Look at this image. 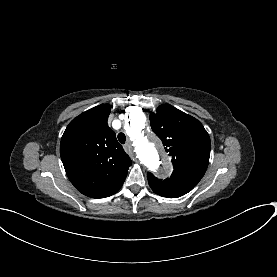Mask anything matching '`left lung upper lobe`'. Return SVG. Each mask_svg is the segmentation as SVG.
<instances>
[{"mask_svg":"<svg viewBox=\"0 0 277 277\" xmlns=\"http://www.w3.org/2000/svg\"><path fill=\"white\" fill-rule=\"evenodd\" d=\"M152 130L172 156L174 171L170 178L160 180L148 173L154 193L177 198L191 191L203 177L210 157V137L194 117L163 104L150 114Z\"/></svg>","mask_w":277,"mask_h":277,"instance_id":"obj_1","label":"left lung upper lobe"}]
</instances>
